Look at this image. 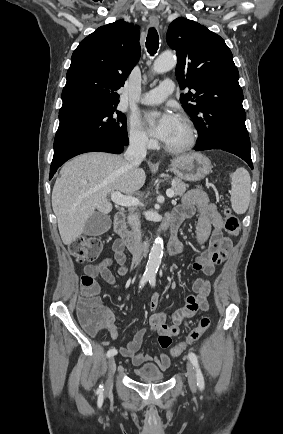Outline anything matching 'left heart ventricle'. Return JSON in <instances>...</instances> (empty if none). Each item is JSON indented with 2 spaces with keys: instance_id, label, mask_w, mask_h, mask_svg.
Segmentation results:
<instances>
[{
  "instance_id": "left-heart-ventricle-1",
  "label": "left heart ventricle",
  "mask_w": 283,
  "mask_h": 434,
  "mask_svg": "<svg viewBox=\"0 0 283 434\" xmlns=\"http://www.w3.org/2000/svg\"><path fill=\"white\" fill-rule=\"evenodd\" d=\"M185 139H186V129L183 122L178 118V123L173 134L165 142L170 145H180L185 141Z\"/></svg>"
}]
</instances>
